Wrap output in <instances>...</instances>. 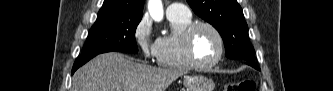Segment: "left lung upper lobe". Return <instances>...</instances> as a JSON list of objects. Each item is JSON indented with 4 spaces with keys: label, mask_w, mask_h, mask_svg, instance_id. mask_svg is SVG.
Instances as JSON below:
<instances>
[{
    "label": "left lung upper lobe",
    "mask_w": 333,
    "mask_h": 91,
    "mask_svg": "<svg viewBox=\"0 0 333 91\" xmlns=\"http://www.w3.org/2000/svg\"><path fill=\"white\" fill-rule=\"evenodd\" d=\"M193 11L212 24L222 36L229 59L252 62L255 51L248 26L236 0H187Z\"/></svg>",
    "instance_id": "5c2ea615"
}]
</instances>
